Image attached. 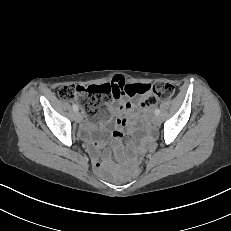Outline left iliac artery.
Instances as JSON below:
<instances>
[{
	"label": "left iliac artery",
	"instance_id": "1",
	"mask_svg": "<svg viewBox=\"0 0 231 231\" xmlns=\"http://www.w3.org/2000/svg\"><path fill=\"white\" fill-rule=\"evenodd\" d=\"M154 113H155V115H159V114H160V110H159V109H156V110L154 111Z\"/></svg>",
	"mask_w": 231,
	"mask_h": 231
}]
</instances>
